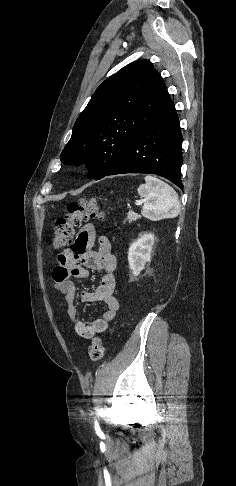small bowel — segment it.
Wrapping results in <instances>:
<instances>
[{
    "label": "small bowel",
    "mask_w": 236,
    "mask_h": 486,
    "mask_svg": "<svg viewBox=\"0 0 236 486\" xmlns=\"http://www.w3.org/2000/svg\"><path fill=\"white\" fill-rule=\"evenodd\" d=\"M96 240L98 250L94 251L92 247ZM57 260L58 265L52 273L54 287L64 295L75 334L90 339L96 334L103 333L119 309V303L114 296L116 258L111 252L109 240L105 236H97L94 226L87 224L78 233L72 246L61 252ZM90 269L104 271V275L94 291L80 292V300L84 303L103 302L106 309L99 318L85 323L78 318L74 305L76 289L73 279L88 277Z\"/></svg>",
    "instance_id": "c3829d8e"
}]
</instances>
